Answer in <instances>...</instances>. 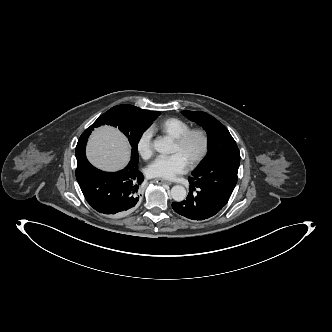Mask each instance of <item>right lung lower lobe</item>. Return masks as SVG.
Instances as JSON below:
<instances>
[{"mask_svg":"<svg viewBox=\"0 0 332 332\" xmlns=\"http://www.w3.org/2000/svg\"><path fill=\"white\" fill-rule=\"evenodd\" d=\"M88 128L81 135L87 139ZM76 179L87 202L99 213L110 217H120L133 212L140 203L139 185L142 173L126 166L118 172H104L92 166L85 155L77 164Z\"/></svg>","mask_w":332,"mask_h":332,"instance_id":"98d812e1","label":"right lung lower lobe"}]
</instances>
